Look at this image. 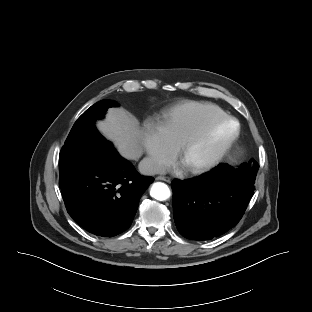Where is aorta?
Instances as JSON below:
<instances>
[{"label": "aorta", "instance_id": "762f6f07", "mask_svg": "<svg viewBox=\"0 0 312 312\" xmlns=\"http://www.w3.org/2000/svg\"><path fill=\"white\" fill-rule=\"evenodd\" d=\"M150 195L156 200L165 201L170 197L171 193L169 187L165 183L156 182L151 187Z\"/></svg>", "mask_w": 312, "mask_h": 312}]
</instances>
